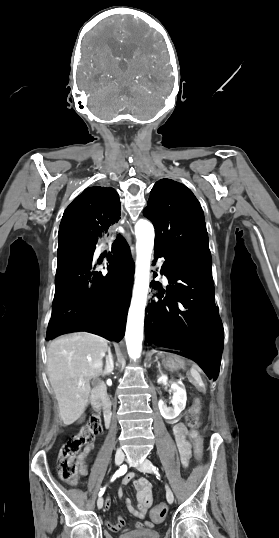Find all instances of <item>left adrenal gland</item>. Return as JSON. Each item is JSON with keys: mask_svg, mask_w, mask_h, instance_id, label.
I'll list each match as a JSON object with an SVG mask.
<instances>
[{"mask_svg": "<svg viewBox=\"0 0 279 538\" xmlns=\"http://www.w3.org/2000/svg\"><path fill=\"white\" fill-rule=\"evenodd\" d=\"M155 362H157V364H158L157 368H158V370H159V372L161 374V366H160V362H158V358H156Z\"/></svg>", "mask_w": 279, "mask_h": 538, "instance_id": "left-adrenal-gland-1", "label": "left adrenal gland"}]
</instances>
